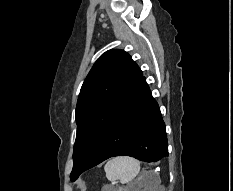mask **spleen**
Returning a JSON list of instances; mask_svg holds the SVG:
<instances>
[{
    "label": "spleen",
    "mask_w": 233,
    "mask_h": 191,
    "mask_svg": "<svg viewBox=\"0 0 233 191\" xmlns=\"http://www.w3.org/2000/svg\"><path fill=\"white\" fill-rule=\"evenodd\" d=\"M104 170L108 180H119L122 184H126L139 174L140 162L128 156L116 157L106 163ZM147 174L154 175L153 172Z\"/></svg>",
    "instance_id": "3e777b00"
}]
</instances>
